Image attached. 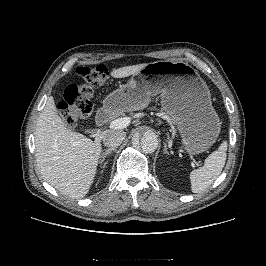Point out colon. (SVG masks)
<instances>
[{"instance_id":"5ec220e1","label":"colon","mask_w":266,"mask_h":266,"mask_svg":"<svg viewBox=\"0 0 266 266\" xmlns=\"http://www.w3.org/2000/svg\"><path fill=\"white\" fill-rule=\"evenodd\" d=\"M77 81L70 83L59 103L60 114L68 126H75L78 118L88 115L93 106L94 90L105 85L109 72L104 65L79 66Z\"/></svg>"}]
</instances>
